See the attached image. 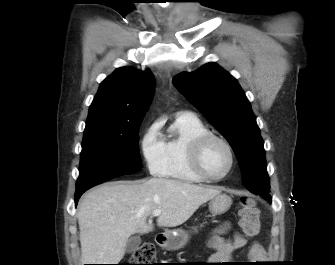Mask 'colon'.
I'll use <instances>...</instances> for the list:
<instances>
[{"label":"colon","instance_id":"obj_1","mask_svg":"<svg viewBox=\"0 0 335 265\" xmlns=\"http://www.w3.org/2000/svg\"><path fill=\"white\" fill-rule=\"evenodd\" d=\"M239 222L243 233L248 237H253L260 230V211L255 201L244 197L241 200L239 210ZM156 251L152 244L144 243L132 254L129 264L124 265H154Z\"/></svg>","mask_w":335,"mask_h":265}]
</instances>
